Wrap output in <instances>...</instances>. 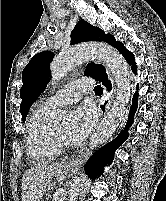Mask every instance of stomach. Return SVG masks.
Masks as SVG:
<instances>
[{
    "instance_id": "stomach-1",
    "label": "stomach",
    "mask_w": 166,
    "mask_h": 201,
    "mask_svg": "<svg viewBox=\"0 0 166 201\" xmlns=\"http://www.w3.org/2000/svg\"><path fill=\"white\" fill-rule=\"evenodd\" d=\"M73 168L69 166L67 169H63L57 177L59 178H65V176L72 170Z\"/></svg>"
}]
</instances>
